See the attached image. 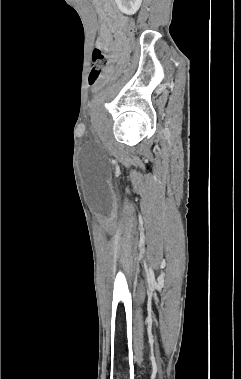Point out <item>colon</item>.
<instances>
[{
  "instance_id": "5ec220e1",
  "label": "colon",
  "mask_w": 241,
  "mask_h": 379,
  "mask_svg": "<svg viewBox=\"0 0 241 379\" xmlns=\"http://www.w3.org/2000/svg\"><path fill=\"white\" fill-rule=\"evenodd\" d=\"M125 35L127 36V41H129L130 45H135V43L138 42V37L136 36V24L135 23H128L127 28L125 30ZM92 59H93V68L89 74L88 82L90 85L97 84L103 77V68L106 65L107 62V56L106 52L103 47L100 45L96 46L92 53ZM127 65V64H126ZM125 64L119 65L120 71L126 70ZM116 77H120L121 73L116 72ZM106 86H113L114 80L113 79H106L105 80Z\"/></svg>"
}]
</instances>
